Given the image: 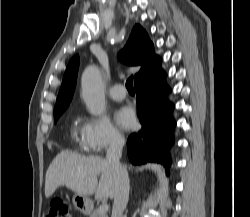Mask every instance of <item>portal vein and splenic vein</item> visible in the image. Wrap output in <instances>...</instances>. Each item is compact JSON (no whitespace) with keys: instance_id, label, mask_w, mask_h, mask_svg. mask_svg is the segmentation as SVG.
I'll return each instance as SVG.
<instances>
[{"instance_id":"18ae733b","label":"portal vein and splenic vein","mask_w":250,"mask_h":217,"mask_svg":"<svg viewBox=\"0 0 250 217\" xmlns=\"http://www.w3.org/2000/svg\"><path fill=\"white\" fill-rule=\"evenodd\" d=\"M108 208H109L108 204H102V205L99 207V211H100L101 213H106V212L108 211Z\"/></svg>"}]
</instances>
